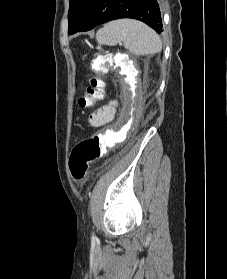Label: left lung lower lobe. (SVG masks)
Wrapping results in <instances>:
<instances>
[{"label": "left lung lower lobe", "instance_id": "1", "mask_svg": "<svg viewBox=\"0 0 227 279\" xmlns=\"http://www.w3.org/2000/svg\"><path fill=\"white\" fill-rule=\"evenodd\" d=\"M118 18L138 19L156 32L162 31V20L156 0H93L77 32L89 31L97 25Z\"/></svg>", "mask_w": 227, "mask_h": 279}]
</instances>
